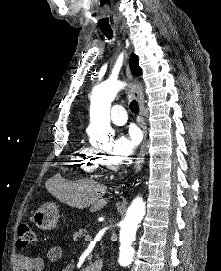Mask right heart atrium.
Here are the masks:
<instances>
[{"label":"right heart atrium","mask_w":221,"mask_h":271,"mask_svg":"<svg viewBox=\"0 0 221 271\" xmlns=\"http://www.w3.org/2000/svg\"><path fill=\"white\" fill-rule=\"evenodd\" d=\"M76 159L81 161H92L94 164L92 166H97V171H81V173H100L99 167H104V159L108 156L106 154H98V151H85V154H75ZM89 166H91L89 164Z\"/></svg>","instance_id":"1"}]
</instances>
